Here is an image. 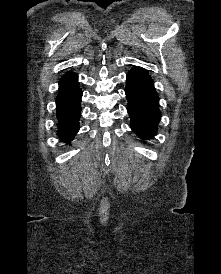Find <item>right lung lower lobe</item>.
<instances>
[{
	"label": "right lung lower lobe",
	"mask_w": 221,
	"mask_h": 274,
	"mask_svg": "<svg viewBox=\"0 0 221 274\" xmlns=\"http://www.w3.org/2000/svg\"><path fill=\"white\" fill-rule=\"evenodd\" d=\"M81 97L77 74L66 73L59 81V93L56 98L57 135L64 142H70L79 130Z\"/></svg>",
	"instance_id": "98d812e1"
}]
</instances>
